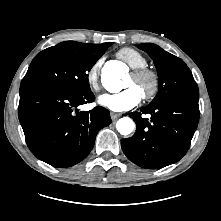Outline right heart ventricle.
<instances>
[{
	"instance_id": "1",
	"label": "right heart ventricle",
	"mask_w": 221,
	"mask_h": 221,
	"mask_svg": "<svg viewBox=\"0 0 221 221\" xmlns=\"http://www.w3.org/2000/svg\"><path fill=\"white\" fill-rule=\"evenodd\" d=\"M116 55L126 62L131 68H140L147 65L146 56L140 51L131 47L120 48Z\"/></svg>"
}]
</instances>
